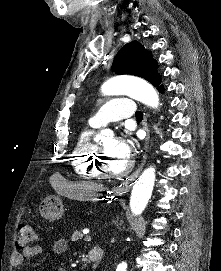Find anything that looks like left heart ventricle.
Masks as SVG:
<instances>
[{
    "instance_id": "obj_1",
    "label": "left heart ventricle",
    "mask_w": 221,
    "mask_h": 271,
    "mask_svg": "<svg viewBox=\"0 0 221 271\" xmlns=\"http://www.w3.org/2000/svg\"><path fill=\"white\" fill-rule=\"evenodd\" d=\"M103 164L107 165L109 175H124L125 161L122 156H109L108 160L103 161Z\"/></svg>"
}]
</instances>
